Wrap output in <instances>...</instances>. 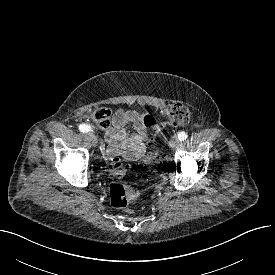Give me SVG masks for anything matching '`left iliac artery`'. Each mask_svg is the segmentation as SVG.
<instances>
[{
    "instance_id": "obj_1",
    "label": "left iliac artery",
    "mask_w": 275,
    "mask_h": 275,
    "mask_svg": "<svg viewBox=\"0 0 275 275\" xmlns=\"http://www.w3.org/2000/svg\"><path fill=\"white\" fill-rule=\"evenodd\" d=\"M186 138H187V133L186 132L181 131V132L178 133V139L180 141H184Z\"/></svg>"
}]
</instances>
